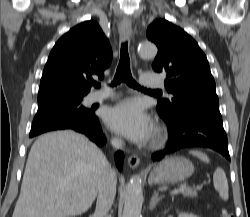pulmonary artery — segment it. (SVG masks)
I'll return each mask as SVG.
<instances>
[{"label":"pulmonary artery","instance_id":"pulmonary-artery-1","mask_svg":"<svg viewBox=\"0 0 250 217\" xmlns=\"http://www.w3.org/2000/svg\"><path fill=\"white\" fill-rule=\"evenodd\" d=\"M140 83L148 88H164V83L158 79L152 77V74L145 73L140 78ZM113 96L111 90H102L92 93L88 96L89 103H96L99 101H104Z\"/></svg>","mask_w":250,"mask_h":217}]
</instances>
